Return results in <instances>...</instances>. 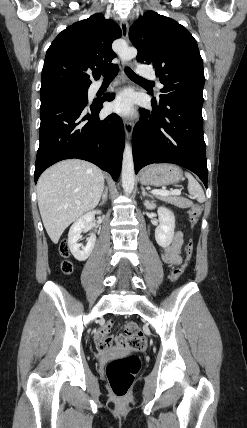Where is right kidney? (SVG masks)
Here are the masks:
<instances>
[{
    "label": "right kidney",
    "instance_id": "obj_1",
    "mask_svg": "<svg viewBox=\"0 0 247 428\" xmlns=\"http://www.w3.org/2000/svg\"><path fill=\"white\" fill-rule=\"evenodd\" d=\"M96 214H101L100 210H95L86 213L82 217H80L77 221L73 223L70 227L68 233V246L70 248L71 253L78 261H85L90 254L95 245L96 235L91 234L88 238V242L86 246H81L78 243V240L81 237V232L83 229L87 228L89 224L95 219ZM81 247V249H80Z\"/></svg>",
    "mask_w": 247,
    "mask_h": 428
}]
</instances>
